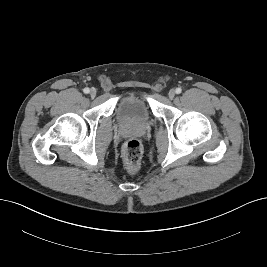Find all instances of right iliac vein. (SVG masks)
Wrapping results in <instances>:
<instances>
[{"mask_svg":"<svg viewBox=\"0 0 267 267\" xmlns=\"http://www.w3.org/2000/svg\"><path fill=\"white\" fill-rule=\"evenodd\" d=\"M96 94H97L96 89H95V88H92V89L90 90V96H91L92 98H94V97L96 96Z\"/></svg>","mask_w":267,"mask_h":267,"instance_id":"obj_1","label":"right iliac vein"}]
</instances>
